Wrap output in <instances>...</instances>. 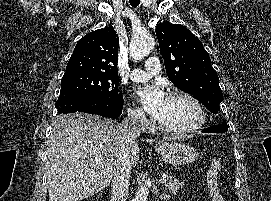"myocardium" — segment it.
I'll use <instances>...</instances> for the list:
<instances>
[{
    "label": "myocardium",
    "instance_id": "myocardium-1",
    "mask_svg": "<svg viewBox=\"0 0 271 201\" xmlns=\"http://www.w3.org/2000/svg\"><path fill=\"white\" fill-rule=\"evenodd\" d=\"M169 99L172 98H180L188 101L193 105L197 112V120L196 122L191 125L190 127L183 129V130H172L167 127H165L160 121L158 122V128L159 130L169 136H174V137H183V136H188L196 131H198L206 122L207 120V114L205 111L204 106L202 103L192 94L182 91V90H174L172 91L169 96Z\"/></svg>",
    "mask_w": 271,
    "mask_h": 201
}]
</instances>
